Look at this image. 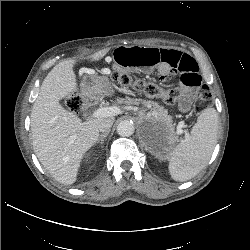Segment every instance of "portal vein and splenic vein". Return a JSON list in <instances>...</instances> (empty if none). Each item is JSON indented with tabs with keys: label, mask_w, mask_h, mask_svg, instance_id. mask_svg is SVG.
Instances as JSON below:
<instances>
[{
	"label": "portal vein and splenic vein",
	"mask_w": 250,
	"mask_h": 250,
	"mask_svg": "<svg viewBox=\"0 0 250 250\" xmlns=\"http://www.w3.org/2000/svg\"><path fill=\"white\" fill-rule=\"evenodd\" d=\"M120 113V108L117 106H109V107H101L93 111L91 114L92 118H105V117H112L116 116ZM184 127V123L180 122L177 125V133L181 134L184 132L182 129Z\"/></svg>",
	"instance_id": "obj_1"
}]
</instances>
